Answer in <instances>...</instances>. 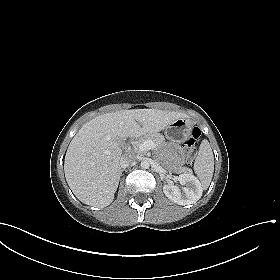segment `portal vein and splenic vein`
Returning a JSON list of instances; mask_svg holds the SVG:
<instances>
[{"mask_svg": "<svg viewBox=\"0 0 280 280\" xmlns=\"http://www.w3.org/2000/svg\"><path fill=\"white\" fill-rule=\"evenodd\" d=\"M155 146H156V145H155V143H154L153 141H151V140H146V141H144V142L139 146V150H140L141 152H143V151H148V150H150V149H153Z\"/></svg>", "mask_w": 280, "mask_h": 280, "instance_id": "obj_1", "label": "portal vein and splenic vein"}]
</instances>
